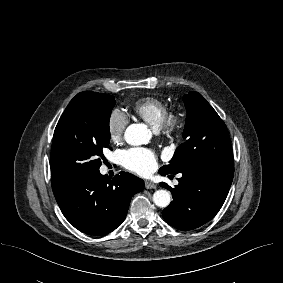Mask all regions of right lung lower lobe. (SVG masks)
Instances as JSON below:
<instances>
[{
	"label": "right lung lower lobe",
	"instance_id": "98d812e1",
	"mask_svg": "<svg viewBox=\"0 0 283 283\" xmlns=\"http://www.w3.org/2000/svg\"><path fill=\"white\" fill-rule=\"evenodd\" d=\"M144 181L120 172L112 179L99 170L53 190L65 218L89 235H104L125 219L131 198L142 191Z\"/></svg>",
	"mask_w": 283,
	"mask_h": 283
}]
</instances>
